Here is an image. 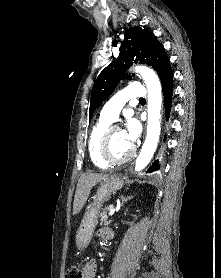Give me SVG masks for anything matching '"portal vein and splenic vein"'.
Returning a JSON list of instances; mask_svg holds the SVG:
<instances>
[{"label":"portal vein and splenic vein","mask_w":221,"mask_h":278,"mask_svg":"<svg viewBox=\"0 0 221 278\" xmlns=\"http://www.w3.org/2000/svg\"><path fill=\"white\" fill-rule=\"evenodd\" d=\"M116 210H117L116 208L112 207L109 211V215L112 216L115 213Z\"/></svg>","instance_id":"18ae733b"}]
</instances>
